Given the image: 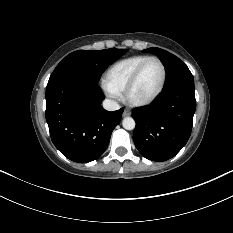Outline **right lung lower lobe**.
I'll list each match as a JSON object with an SVG mask.
<instances>
[{
	"mask_svg": "<svg viewBox=\"0 0 233 233\" xmlns=\"http://www.w3.org/2000/svg\"><path fill=\"white\" fill-rule=\"evenodd\" d=\"M97 83L59 78L46 87V121L52 142L68 159L87 163L106 150L123 109L106 111Z\"/></svg>",
	"mask_w": 233,
	"mask_h": 233,
	"instance_id": "obj_1",
	"label": "right lung lower lobe"
}]
</instances>
